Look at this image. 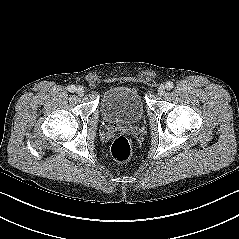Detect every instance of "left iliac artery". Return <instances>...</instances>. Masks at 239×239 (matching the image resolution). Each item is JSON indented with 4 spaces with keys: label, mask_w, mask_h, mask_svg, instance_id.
Returning <instances> with one entry per match:
<instances>
[{
    "label": "left iliac artery",
    "mask_w": 239,
    "mask_h": 239,
    "mask_svg": "<svg viewBox=\"0 0 239 239\" xmlns=\"http://www.w3.org/2000/svg\"><path fill=\"white\" fill-rule=\"evenodd\" d=\"M174 87V84H173V82H171V81H168L167 83H166V88L167 89H172Z\"/></svg>",
    "instance_id": "1"
}]
</instances>
